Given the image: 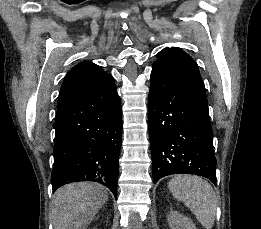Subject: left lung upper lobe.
<instances>
[{"label": "left lung upper lobe", "mask_w": 261, "mask_h": 229, "mask_svg": "<svg viewBox=\"0 0 261 229\" xmlns=\"http://www.w3.org/2000/svg\"><path fill=\"white\" fill-rule=\"evenodd\" d=\"M153 65L184 72L200 74L196 62L180 48H166L157 54V61Z\"/></svg>", "instance_id": "5c2ea615"}]
</instances>
